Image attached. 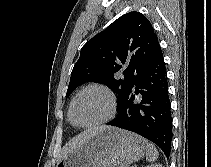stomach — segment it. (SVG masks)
Masks as SVG:
<instances>
[{
  "label": "stomach",
  "instance_id": "obj_1",
  "mask_svg": "<svg viewBox=\"0 0 211 167\" xmlns=\"http://www.w3.org/2000/svg\"><path fill=\"white\" fill-rule=\"evenodd\" d=\"M145 150L146 141L142 137L110 127L67 154L56 167H129Z\"/></svg>",
  "mask_w": 211,
  "mask_h": 167
}]
</instances>
